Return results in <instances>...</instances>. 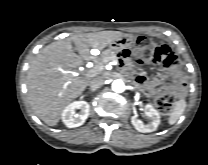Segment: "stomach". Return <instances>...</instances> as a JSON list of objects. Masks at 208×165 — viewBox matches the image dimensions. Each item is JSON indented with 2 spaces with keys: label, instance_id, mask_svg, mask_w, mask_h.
Listing matches in <instances>:
<instances>
[{
  "label": "stomach",
  "instance_id": "obj_1",
  "mask_svg": "<svg viewBox=\"0 0 208 165\" xmlns=\"http://www.w3.org/2000/svg\"><path fill=\"white\" fill-rule=\"evenodd\" d=\"M135 43V38L132 36L124 35L123 37L119 38L118 40H115L111 42L108 46L109 49L119 53L124 49L131 48Z\"/></svg>",
  "mask_w": 208,
  "mask_h": 165
}]
</instances>
